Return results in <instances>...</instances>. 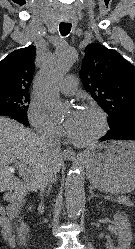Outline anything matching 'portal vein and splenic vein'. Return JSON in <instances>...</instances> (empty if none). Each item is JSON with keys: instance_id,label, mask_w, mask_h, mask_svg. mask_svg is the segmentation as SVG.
<instances>
[{"instance_id": "18ae733b", "label": "portal vein and splenic vein", "mask_w": 135, "mask_h": 249, "mask_svg": "<svg viewBox=\"0 0 135 249\" xmlns=\"http://www.w3.org/2000/svg\"><path fill=\"white\" fill-rule=\"evenodd\" d=\"M17 166L23 175H25L26 171H28L27 166L22 162H17ZM9 171L13 172L14 169L10 168ZM105 199H107V200L110 199V196H106Z\"/></svg>"}]
</instances>
